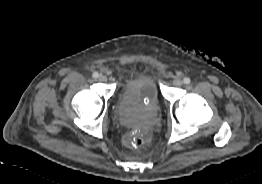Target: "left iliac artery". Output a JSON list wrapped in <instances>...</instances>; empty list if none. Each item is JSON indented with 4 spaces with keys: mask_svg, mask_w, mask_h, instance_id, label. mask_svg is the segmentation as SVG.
<instances>
[{
    "mask_svg": "<svg viewBox=\"0 0 262 184\" xmlns=\"http://www.w3.org/2000/svg\"><path fill=\"white\" fill-rule=\"evenodd\" d=\"M183 82H184L185 84H189V83L191 82V80H190V78L185 77V78L183 79Z\"/></svg>",
    "mask_w": 262,
    "mask_h": 184,
    "instance_id": "44dca946",
    "label": "left iliac artery"
}]
</instances>
